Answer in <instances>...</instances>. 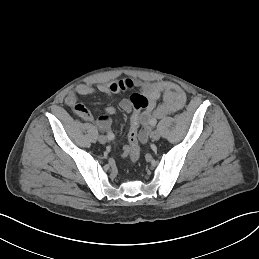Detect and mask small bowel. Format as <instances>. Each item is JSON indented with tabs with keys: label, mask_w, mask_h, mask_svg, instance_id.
<instances>
[{
	"label": "small bowel",
	"mask_w": 259,
	"mask_h": 259,
	"mask_svg": "<svg viewBox=\"0 0 259 259\" xmlns=\"http://www.w3.org/2000/svg\"><path fill=\"white\" fill-rule=\"evenodd\" d=\"M138 88L142 94L148 99V107L141 114V130L139 139L142 143H147L153 120L162 118L166 115L179 111L186 104V94L183 89L170 81L145 82L133 79H124L120 81L100 83L96 86L88 83L79 84L66 97V103L71 106L84 120L94 122L102 131H110L112 121L110 116L116 114L117 110L114 106L105 108V115L97 118L86 109V107L78 102V95H90L94 93H102L107 96H113L121 91ZM163 96V102L158 103L159 98ZM120 107L125 112H132L130 100L123 99ZM128 155V146L123 148L122 156Z\"/></svg>",
	"instance_id": "1"
}]
</instances>
